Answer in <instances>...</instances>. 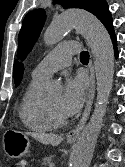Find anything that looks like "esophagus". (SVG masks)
<instances>
[{"label": "esophagus", "instance_id": "1", "mask_svg": "<svg viewBox=\"0 0 125 167\" xmlns=\"http://www.w3.org/2000/svg\"><path fill=\"white\" fill-rule=\"evenodd\" d=\"M94 95H95V71H94V66L92 64V59H91V64H90V88H89V92H88L86 106H85L83 115H82L79 123L77 124V126L74 129L70 130L66 134V138L68 140H76L78 138L81 130L83 129V127H84V125L87 122V119L89 117L91 107H92V104H93V100H94Z\"/></svg>", "mask_w": 125, "mask_h": 167}]
</instances>
